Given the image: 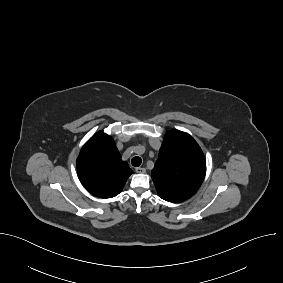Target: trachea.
<instances>
[{"label": "trachea", "instance_id": "trachea-1", "mask_svg": "<svg viewBox=\"0 0 283 283\" xmlns=\"http://www.w3.org/2000/svg\"><path fill=\"white\" fill-rule=\"evenodd\" d=\"M131 163H132V165H133L134 167H138V166L141 165L142 159H141L140 157H138V156L133 157L132 160H131Z\"/></svg>", "mask_w": 283, "mask_h": 283}]
</instances>
